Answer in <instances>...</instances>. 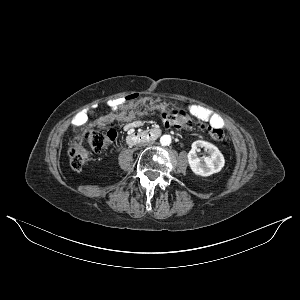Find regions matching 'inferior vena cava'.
Segmentation results:
<instances>
[{
  "label": "inferior vena cava",
  "mask_w": 300,
  "mask_h": 300,
  "mask_svg": "<svg viewBox=\"0 0 300 300\" xmlns=\"http://www.w3.org/2000/svg\"><path fill=\"white\" fill-rule=\"evenodd\" d=\"M154 144H155L154 140L143 141L144 146H149V145H154Z\"/></svg>",
  "instance_id": "inferior-vena-cava-1"
}]
</instances>
